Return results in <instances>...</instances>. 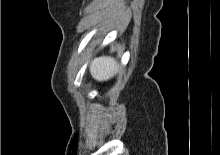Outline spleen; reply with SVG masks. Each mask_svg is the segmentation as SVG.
Masks as SVG:
<instances>
[{"label": "spleen", "instance_id": "1", "mask_svg": "<svg viewBox=\"0 0 220 155\" xmlns=\"http://www.w3.org/2000/svg\"><path fill=\"white\" fill-rule=\"evenodd\" d=\"M118 71V64L114 58L102 56L95 58L90 65L91 76L97 81H107Z\"/></svg>", "mask_w": 220, "mask_h": 155}]
</instances>
